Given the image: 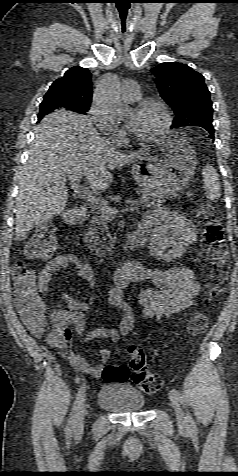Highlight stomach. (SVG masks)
<instances>
[{"label": "stomach", "mask_w": 238, "mask_h": 476, "mask_svg": "<svg viewBox=\"0 0 238 476\" xmlns=\"http://www.w3.org/2000/svg\"><path fill=\"white\" fill-rule=\"evenodd\" d=\"M196 152L177 131L156 139L132 167V175L145 195L173 198L183 191L194 173Z\"/></svg>", "instance_id": "0dacf381"}]
</instances>
